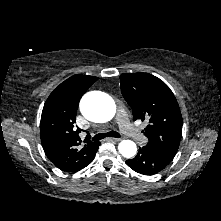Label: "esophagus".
<instances>
[{
	"mask_svg": "<svg viewBox=\"0 0 221 221\" xmlns=\"http://www.w3.org/2000/svg\"><path fill=\"white\" fill-rule=\"evenodd\" d=\"M121 140H122L121 138H110V141L112 142H119Z\"/></svg>",
	"mask_w": 221,
	"mask_h": 221,
	"instance_id": "34e87169",
	"label": "esophagus"
}]
</instances>
